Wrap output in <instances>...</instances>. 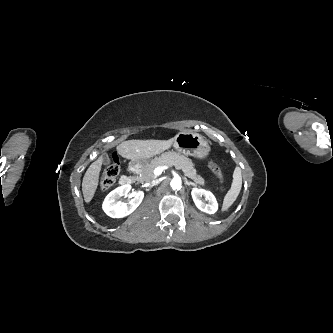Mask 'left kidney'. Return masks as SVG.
I'll list each match as a JSON object with an SVG mask.
<instances>
[{
    "label": "left kidney",
    "instance_id": "obj_1",
    "mask_svg": "<svg viewBox=\"0 0 333 333\" xmlns=\"http://www.w3.org/2000/svg\"><path fill=\"white\" fill-rule=\"evenodd\" d=\"M193 201L197 208L205 213L214 214L218 209L215 196L207 190L195 188L191 192ZM204 198V200H202Z\"/></svg>",
    "mask_w": 333,
    "mask_h": 333
}]
</instances>
